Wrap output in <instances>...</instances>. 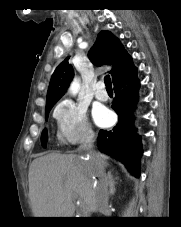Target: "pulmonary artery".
<instances>
[{
    "instance_id": "1",
    "label": "pulmonary artery",
    "mask_w": 181,
    "mask_h": 227,
    "mask_svg": "<svg viewBox=\"0 0 181 227\" xmlns=\"http://www.w3.org/2000/svg\"><path fill=\"white\" fill-rule=\"evenodd\" d=\"M94 95L99 101L105 102L108 100V93L104 89V83L102 81L97 83Z\"/></svg>"
}]
</instances>
